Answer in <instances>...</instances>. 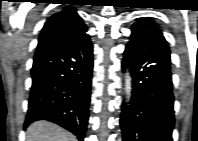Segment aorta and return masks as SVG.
I'll list each match as a JSON object with an SVG mask.
<instances>
[{
  "mask_svg": "<svg viewBox=\"0 0 198 141\" xmlns=\"http://www.w3.org/2000/svg\"><path fill=\"white\" fill-rule=\"evenodd\" d=\"M125 82H126V87H125L126 94L127 95H130V91H131V79H130V76L128 74L126 75Z\"/></svg>",
  "mask_w": 198,
  "mask_h": 141,
  "instance_id": "1",
  "label": "aorta"
}]
</instances>
